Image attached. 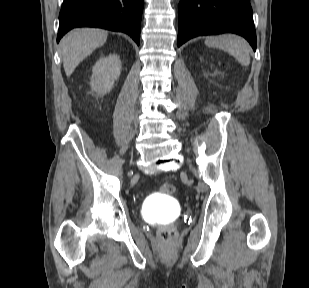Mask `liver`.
<instances>
[{"mask_svg":"<svg viewBox=\"0 0 309 288\" xmlns=\"http://www.w3.org/2000/svg\"><path fill=\"white\" fill-rule=\"evenodd\" d=\"M107 37V31L95 28L74 29L65 35L60 45L66 76L70 77L78 64L102 46Z\"/></svg>","mask_w":309,"mask_h":288,"instance_id":"6515ba94","label":"liver"}]
</instances>
